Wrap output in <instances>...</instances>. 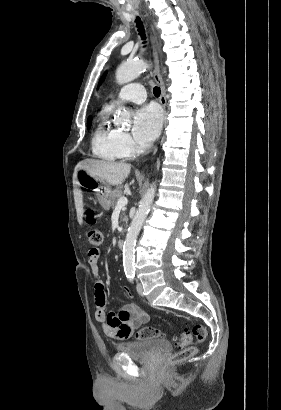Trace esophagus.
Instances as JSON below:
<instances>
[{"label": "esophagus", "instance_id": "34e87169", "mask_svg": "<svg viewBox=\"0 0 281 410\" xmlns=\"http://www.w3.org/2000/svg\"><path fill=\"white\" fill-rule=\"evenodd\" d=\"M151 44H152V51H153L154 65H155L154 66V71H153V77H154V80L160 86V90H161L160 103L163 106V108L166 109V104H167L166 89H165V85H164L162 76L160 74L156 38L152 34H151ZM156 152H157V148H154L153 154H155Z\"/></svg>", "mask_w": 281, "mask_h": 410}]
</instances>
